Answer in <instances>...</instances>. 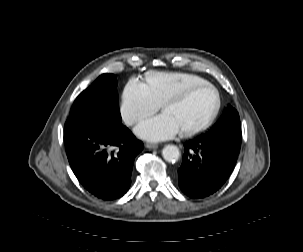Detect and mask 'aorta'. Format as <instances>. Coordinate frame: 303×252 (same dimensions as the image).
I'll return each mask as SVG.
<instances>
[{
	"label": "aorta",
	"mask_w": 303,
	"mask_h": 252,
	"mask_svg": "<svg viewBox=\"0 0 303 252\" xmlns=\"http://www.w3.org/2000/svg\"><path fill=\"white\" fill-rule=\"evenodd\" d=\"M163 158L167 162L174 163L178 161L180 157V152L177 146L175 145H166L162 151Z\"/></svg>",
	"instance_id": "aorta-1"
}]
</instances>
